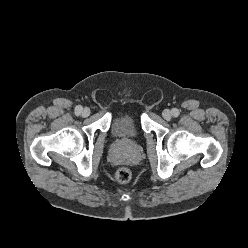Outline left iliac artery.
Wrapping results in <instances>:
<instances>
[{"label": "left iliac artery", "instance_id": "1", "mask_svg": "<svg viewBox=\"0 0 248 248\" xmlns=\"http://www.w3.org/2000/svg\"><path fill=\"white\" fill-rule=\"evenodd\" d=\"M172 114L174 117H177L179 115V110L176 108L172 109Z\"/></svg>", "mask_w": 248, "mask_h": 248}]
</instances>
